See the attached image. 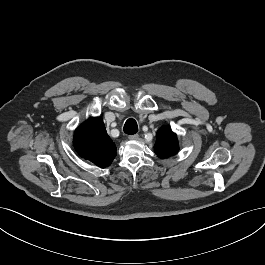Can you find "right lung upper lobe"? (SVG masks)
<instances>
[{
	"instance_id": "obj_1",
	"label": "right lung upper lobe",
	"mask_w": 265,
	"mask_h": 265,
	"mask_svg": "<svg viewBox=\"0 0 265 265\" xmlns=\"http://www.w3.org/2000/svg\"><path fill=\"white\" fill-rule=\"evenodd\" d=\"M73 144L82 158L100 168L109 166L116 156V146L100 117H90L81 124L75 131Z\"/></svg>"
}]
</instances>
